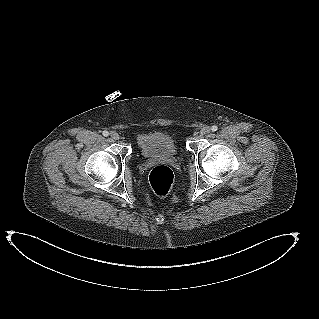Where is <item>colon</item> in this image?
Returning a JSON list of instances; mask_svg holds the SVG:
<instances>
[{"mask_svg": "<svg viewBox=\"0 0 319 319\" xmlns=\"http://www.w3.org/2000/svg\"><path fill=\"white\" fill-rule=\"evenodd\" d=\"M174 182L173 171L165 165L155 166L149 175V183L152 190L158 196H166Z\"/></svg>", "mask_w": 319, "mask_h": 319, "instance_id": "obj_1", "label": "colon"}]
</instances>
